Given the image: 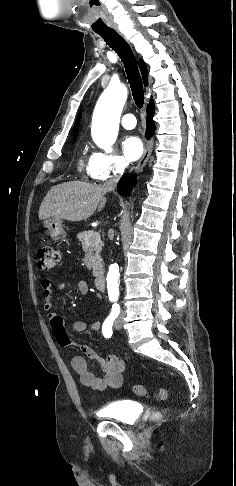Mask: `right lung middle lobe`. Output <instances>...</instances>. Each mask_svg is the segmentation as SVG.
<instances>
[{
  "label": "right lung middle lobe",
  "instance_id": "1",
  "mask_svg": "<svg viewBox=\"0 0 236 486\" xmlns=\"http://www.w3.org/2000/svg\"><path fill=\"white\" fill-rule=\"evenodd\" d=\"M76 138H77V137H74V141H73V142H75Z\"/></svg>",
  "mask_w": 236,
  "mask_h": 486
}]
</instances>
